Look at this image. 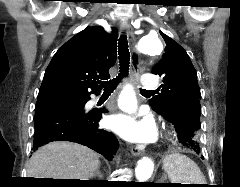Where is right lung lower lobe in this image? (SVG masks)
<instances>
[{
	"mask_svg": "<svg viewBox=\"0 0 240 187\" xmlns=\"http://www.w3.org/2000/svg\"><path fill=\"white\" fill-rule=\"evenodd\" d=\"M84 99L86 104L90 95ZM106 112L105 109L84 112L83 109L70 110L54 105L35 113L33 149L53 141H71L85 145L111 160L119 142L111 132L98 128V121Z\"/></svg>",
	"mask_w": 240,
	"mask_h": 187,
	"instance_id": "1",
	"label": "right lung lower lobe"
}]
</instances>
